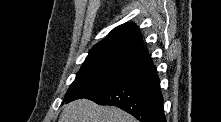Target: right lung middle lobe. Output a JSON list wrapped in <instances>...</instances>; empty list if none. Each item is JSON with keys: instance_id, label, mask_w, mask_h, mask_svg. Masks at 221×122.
Instances as JSON below:
<instances>
[{"instance_id": "1", "label": "right lung middle lobe", "mask_w": 221, "mask_h": 122, "mask_svg": "<svg viewBox=\"0 0 221 122\" xmlns=\"http://www.w3.org/2000/svg\"><path fill=\"white\" fill-rule=\"evenodd\" d=\"M137 63L124 58H101L84 62L63 101L69 103L108 88L126 76Z\"/></svg>"}]
</instances>
